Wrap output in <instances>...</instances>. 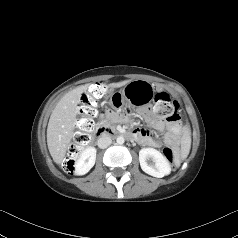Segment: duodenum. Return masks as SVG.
<instances>
[{"instance_id":"obj_1","label":"duodenum","mask_w":238,"mask_h":238,"mask_svg":"<svg viewBox=\"0 0 238 238\" xmlns=\"http://www.w3.org/2000/svg\"><path fill=\"white\" fill-rule=\"evenodd\" d=\"M117 134H119V133H117L107 127H98L95 131V135L97 137L111 136V135H117ZM122 135H124L130 139H136L135 133H122Z\"/></svg>"}]
</instances>
